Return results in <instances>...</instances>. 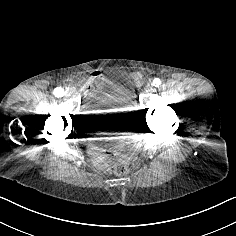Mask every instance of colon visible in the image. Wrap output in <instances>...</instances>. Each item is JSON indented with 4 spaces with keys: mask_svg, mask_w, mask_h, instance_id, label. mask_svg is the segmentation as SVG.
Segmentation results:
<instances>
[{
    "mask_svg": "<svg viewBox=\"0 0 236 236\" xmlns=\"http://www.w3.org/2000/svg\"><path fill=\"white\" fill-rule=\"evenodd\" d=\"M129 170V163L126 160H120L114 165V172L117 175H125Z\"/></svg>",
    "mask_w": 236,
    "mask_h": 236,
    "instance_id": "5ec220e1",
    "label": "colon"
}]
</instances>
